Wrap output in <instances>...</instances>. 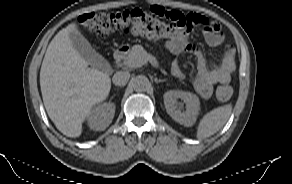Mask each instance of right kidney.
Returning <instances> with one entry per match:
<instances>
[{"mask_svg":"<svg viewBox=\"0 0 292 184\" xmlns=\"http://www.w3.org/2000/svg\"><path fill=\"white\" fill-rule=\"evenodd\" d=\"M115 114V104L105 102L95 106L87 116V124L95 131L105 130L112 122Z\"/></svg>","mask_w":292,"mask_h":184,"instance_id":"ca27d5eb","label":"right kidney"}]
</instances>
